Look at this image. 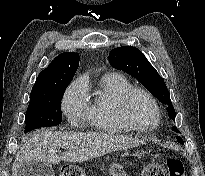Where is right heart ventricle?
<instances>
[{"mask_svg":"<svg viewBox=\"0 0 205 176\" xmlns=\"http://www.w3.org/2000/svg\"><path fill=\"white\" fill-rule=\"evenodd\" d=\"M132 83L118 73L104 74L88 103V118L95 130L105 134H121L132 131L120 114V99Z\"/></svg>","mask_w":205,"mask_h":176,"instance_id":"1","label":"right heart ventricle"}]
</instances>
